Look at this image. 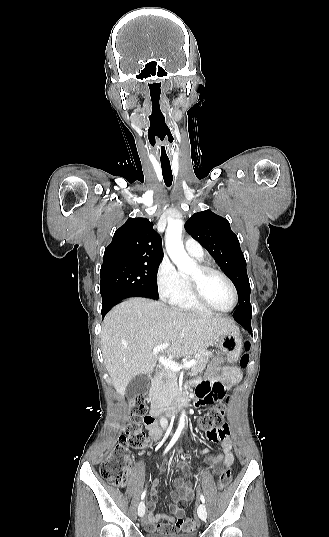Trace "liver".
Returning <instances> with one entry per match:
<instances>
[{
	"mask_svg": "<svg viewBox=\"0 0 329 537\" xmlns=\"http://www.w3.org/2000/svg\"><path fill=\"white\" fill-rule=\"evenodd\" d=\"M236 328L234 321L183 313L162 302L131 298L113 307L101 329V350L116 391L124 396L130 380L153 371L157 355L152 349L172 342V358L195 355L220 336Z\"/></svg>",
	"mask_w": 329,
	"mask_h": 537,
	"instance_id": "liver-1",
	"label": "liver"
}]
</instances>
